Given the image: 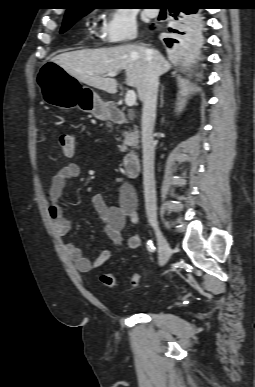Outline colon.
<instances>
[{"label": "colon", "instance_id": "1", "mask_svg": "<svg viewBox=\"0 0 255 387\" xmlns=\"http://www.w3.org/2000/svg\"><path fill=\"white\" fill-rule=\"evenodd\" d=\"M58 143H59V148L61 150V153L65 157H70L73 155V153L75 151V146H76V141H75V137L73 134H71L69 132L61 133L59 136ZM99 281L103 286H105L107 288L112 289V288H115L117 286L116 277L112 273H109V272L102 273L99 277ZM140 282H141V276L139 274L134 273L131 275L130 284L133 287L139 286Z\"/></svg>", "mask_w": 255, "mask_h": 387}]
</instances>
